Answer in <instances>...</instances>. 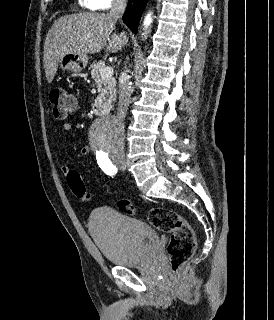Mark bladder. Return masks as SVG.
Instances as JSON below:
<instances>
[{"mask_svg":"<svg viewBox=\"0 0 274 320\" xmlns=\"http://www.w3.org/2000/svg\"><path fill=\"white\" fill-rule=\"evenodd\" d=\"M88 229L104 259L117 266L142 265L159 247V237L150 225L113 208L95 209Z\"/></svg>","mask_w":274,"mask_h":320,"instance_id":"obj_1","label":"bladder"}]
</instances>
